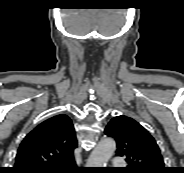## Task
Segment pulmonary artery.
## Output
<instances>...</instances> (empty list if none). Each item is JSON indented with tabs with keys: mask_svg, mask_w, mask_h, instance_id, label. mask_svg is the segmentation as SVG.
<instances>
[{
	"mask_svg": "<svg viewBox=\"0 0 184 173\" xmlns=\"http://www.w3.org/2000/svg\"><path fill=\"white\" fill-rule=\"evenodd\" d=\"M123 164H124V162L121 158H118V157L114 158V160H113V165L114 166L121 167V166H123Z\"/></svg>",
	"mask_w": 184,
	"mask_h": 173,
	"instance_id": "e3ab8cb5",
	"label": "pulmonary artery"
}]
</instances>
